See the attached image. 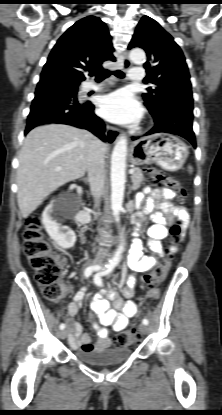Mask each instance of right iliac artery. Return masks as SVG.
I'll return each instance as SVG.
<instances>
[{
    "label": "right iliac artery",
    "mask_w": 222,
    "mask_h": 415,
    "mask_svg": "<svg viewBox=\"0 0 222 415\" xmlns=\"http://www.w3.org/2000/svg\"><path fill=\"white\" fill-rule=\"evenodd\" d=\"M100 268H101L100 266H90V267H87L85 269V271H84V276L87 278V277H89L92 274L93 271L99 270ZM59 328L61 330H63L65 328V324L61 323L60 326H59Z\"/></svg>",
    "instance_id": "1"
}]
</instances>
